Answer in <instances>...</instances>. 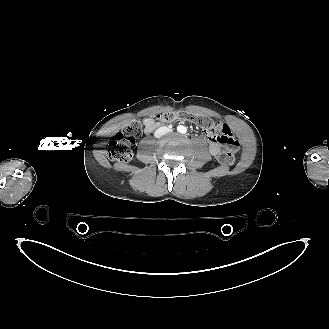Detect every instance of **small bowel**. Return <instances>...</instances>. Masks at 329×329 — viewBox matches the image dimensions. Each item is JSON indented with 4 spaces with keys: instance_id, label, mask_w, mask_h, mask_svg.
<instances>
[{
    "instance_id": "small-bowel-1",
    "label": "small bowel",
    "mask_w": 329,
    "mask_h": 329,
    "mask_svg": "<svg viewBox=\"0 0 329 329\" xmlns=\"http://www.w3.org/2000/svg\"><path fill=\"white\" fill-rule=\"evenodd\" d=\"M145 122H146V132H148V133L153 131L157 127V124L155 122H153L151 119H146ZM223 127L225 129V132L228 135L232 136L229 126L224 124ZM204 135L208 139L209 150H210L211 154L214 156H218L220 153L219 138L213 132L204 131Z\"/></svg>"
}]
</instances>
